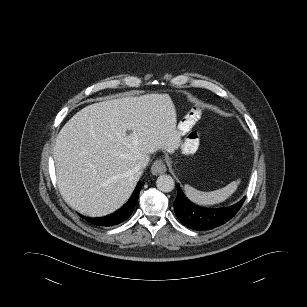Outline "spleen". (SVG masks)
Returning <instances> with one entry per match:
<instances>
[{"mask_svg": "<svg viewBox=\"0 0 307 307\" xmlns=\"http://www.w3.org/2000/svg\"><path fill=\"white\" fill-rule=\"evenodd\" d=\"M237 186L238 181H233L227 186L211 192L199 191L189 185H186L184 190L185 194L192 202L199 205H213L226 200L236 191Z\"/></svg>", "mask_w": 307, "mask_h": 307, "instance_id": "obj_1", "label": "spleen"}]
</instances>
